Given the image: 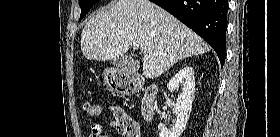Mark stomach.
Returning a JSON list of instances; mask_svg holds the SVG:
<instances>
[{"label":"stomach","mask_w":280,"mask_h":137,"mask_svg":"<svg viewBox=\"0 0 280 137\" xmlns=\"http://www.w3.org/2000/svg\"><path fill=\"white\" fill-rule=\"evenodd\" d=\"M105 82L107 83L109 88L113 91L120 92V93L126 92V90H125L126 86L123 85L122 82L112 81V79L110 77H106Z\"/></svg>","instance_id":"0dacf381"}]
</instances>
